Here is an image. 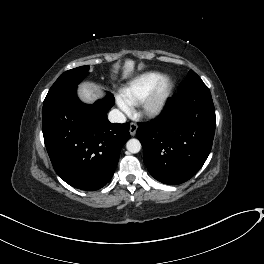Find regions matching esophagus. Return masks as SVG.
<instances>
[{
  "instance_id": "1",
  "label": "esophagus",
  "mask_w": 264,
  "mask_h": 264,
  "mask_svg": "<svg viewBox=\"0 0 264 264\" xmlns=\"http://www.w3.org/2000/svg\"><path fill=\"white\" fill-rule=\"evenodd\" d=\"M136 131H137V124H135L133 122L130 123V128H129L130 135L135 136Z\"/></svg>"
}]
</instances>
